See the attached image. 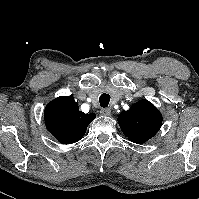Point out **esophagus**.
<instances>
[{
	"label": "esophagus",
	"mask_w": 199,
	"mask_h": 199,
	"mask_svg": "<svg viewBox=\"0 0 199 199\" xmlns=\"http://www.w3.org/2000/svg\"><path fill=\"white\" fill-rule=\"evenodd\" d=\"M100 113L104 116H109L111 114V110L109 108H103Z\"/></svg>",
	"instance_id": "obj_1"
}]
</instances>
